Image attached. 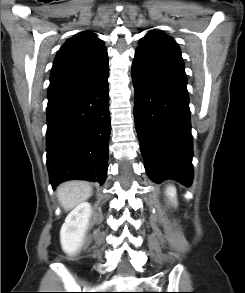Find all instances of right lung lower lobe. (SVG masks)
Instances as JSON below:
<instances>
[{
  "instance_id": "obj_1",
  "label": "right lung lower lobe",
  "mask_w": 245,
  "mask_h": 293,
  "mask_svg": "<svg viewBox=\"0 0 245 293\" xmlns=\"http://www.w3.org/2000/svg\"><path fill=\"white\" fill-rule=\"evenodd\" d=\"M108 76L109 70L48 100L46 150L53 188L66 180L102 185L106 179L111 132Z\"/></svg>"
}]
</instances>
